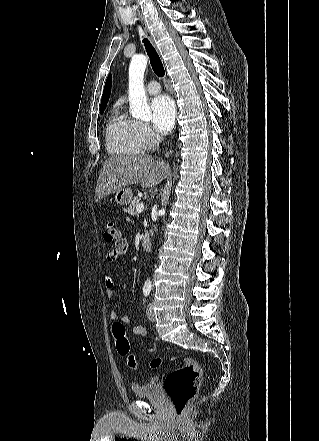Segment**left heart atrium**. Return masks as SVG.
Here are the masks:
<instances>
[{
	"mask_svg": "<svg viewBox=\"0 0 319 441\" xmlns=\"http://www.w3.org/2000/svg\"><path fill=\"white\" fill-rule=\"evenodd\" d=\"M152 125L159 134L168 133L175 121V105L167 95H158L150 102Z\"/></svg>",
	"mask_w": 319,
	"mask_h": 441,
	"instance_id": "39dd6f15",
	"label": "left heart atrium"
}]
</instances>
